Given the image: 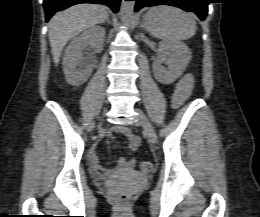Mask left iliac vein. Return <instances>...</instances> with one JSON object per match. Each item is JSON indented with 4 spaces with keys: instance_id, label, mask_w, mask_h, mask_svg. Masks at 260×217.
Instances as JSON below:
<instances>
[{
    "instance_id": "1",
    "label": "left iliac vein",
    "mask_w": 260,
    "mask_h": 217,
    "mask_svg": "<svg viewBox=\"0 0 260 217\" xmlns=\"http://www.w3.org/2000/svg\"><path fill=\"white\" fill-rule=\"evenodd\" d=\"M136 111L138 113L137 123L143 127L149 142L157 143V135L152 123L141 110L137 109Z\"/></svg>"
}]
</instances>
